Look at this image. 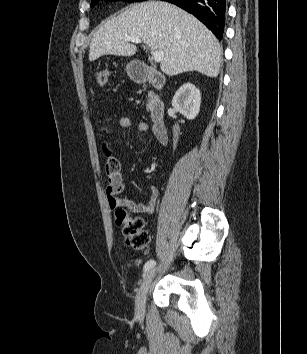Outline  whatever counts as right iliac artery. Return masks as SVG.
Returning <instances> with one entry per match:
<instances>
[{
  "label": "right iliac artery",
  "mask_w": 307,
  "mask_h": 354,
  "mask_svg": "<svg viewBox=\"0 0 307 354\" xmlns=\"http://www.w3.org/2000/svg\"><path fill=\"white\" fill-rule=\"evenodd\" d=\"M155 265H156V262L154 260L147 261L144 265V268H143V270H144L143 275H145V273L148 272L150 269H152Z\"/></svg>",
  "instance_id": "right-iliac-artery-1"
}]
</instances>
